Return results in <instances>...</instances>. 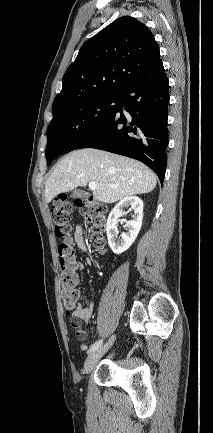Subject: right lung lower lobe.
Returning a JSON list of instances; mask_svg holds the SVG:
<instances>
[{
  "mask_svg": "<svg viewBox=\"0 0 213 433\" xmlns=\"http://www.w3.org/2000/svg\"><path fill=\"white\" fill-rule=\"evenodd\" d=\"M168 91L169 81L159 57L121 94L119 105L109 119L64 153L90 147L128 156L153 169L163 183L168 145ZM123 107L129 116L123 114Z\"/></svg>",
  "mask_w": 213,
  "mask_h": 433,
  "instance_id": "obj_1",
  "label": "right lung lower lobe"
}]
</instances>
